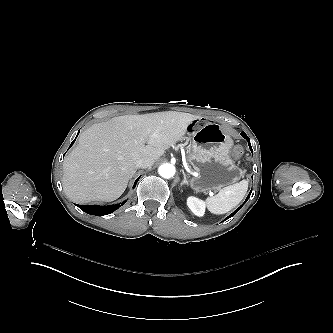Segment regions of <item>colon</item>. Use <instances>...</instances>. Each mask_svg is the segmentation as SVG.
Segmentation results:
<instances>
[{
	"label": "colon",
	"instance_id": "1",
	"mask_svg": "<svg viewBox=\"0 0 333 333\" xmlns=\"http://www.w3.org/2000/svg\"><path fill=\"white\" fill-rule=\"evenodd\" d=\"M243 153V149L241 146H236L233 150V155L235 158H239Z\"/></svg>",
	"mask_w": 333,
	"mask_h": 333
}]
</instances>
